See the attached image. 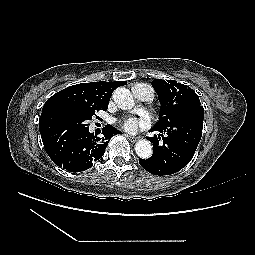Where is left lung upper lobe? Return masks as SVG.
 Segmentation results:
<instances>
[{
	"mask_svg": "<svg viewBox=\"0 0 255 255\" xmlns=\"http://www.w3.org/2000/svg\"><path fill=\"white\" fill-rule=\"evenodd\" d=\"M152 85L161 104L157 127H169L179 119L194 118L196 112L204 110L198 95L184 84L155 79Z\"/></svg>",
	"mask_w": 255,
	"mask_h": 255,
	"instance_id": "1",
	"label": "left lung upper lobe"
}]
</instances>
